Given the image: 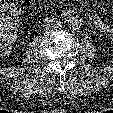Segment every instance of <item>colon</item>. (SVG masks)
<instances>
[{"label": "colon", "instance_id": "5ec220e1", "mask_svg": "<svg viewBox=\"0 0 113 113\" xmlns=\"http://www.w3.org/2000/svg\"><path fill=\"white\" fill-rule=\"evenodd\" d=\"M29 1L31 0H0V54L6 53L11 45L21 6Z\"/></svg>", "mask_w": 113, "mask_h": 113}]
</instances>
